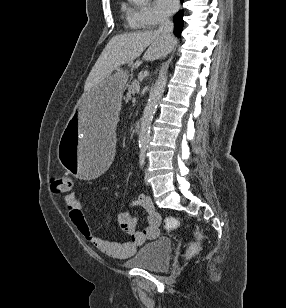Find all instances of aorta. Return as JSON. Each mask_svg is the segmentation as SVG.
Segmentation results:
<instances>
[{
    "label": "aorta",
    "mask_w": 286,
    "mask_h": 308,
    "mask_svg": "<svg viewBox=\"0 0 286 308\" xmlns=\"http://www.w3.org/2000/svg\"><path fill=\"white\" fill-rule=\"evenodd\" d=\"M136 4H141L145 0H132ZM167 73L162 71L149 94L148 102L143 111V116L141 119L140 133H139V145L141 147H146L150 139V126L155 114L157 104L162 97L166 83H167Z\"/></svg>",
    "instance_id": "aorta-1"
}]
</instances>
